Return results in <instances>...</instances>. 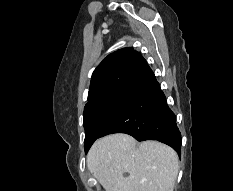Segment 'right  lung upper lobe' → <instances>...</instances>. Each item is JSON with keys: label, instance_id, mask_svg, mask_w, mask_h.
<instances>
[{"label": "right lung upper lobe", "instance_id": "obj_1", "mask_svg": "<svg viewBox=\"0 0 233 191\" xmlns=\"http://www.w3.org/2000/svg\"><path fill=\"white\" fill-rule=\"evenodd\" d=\"M147 66L145 59L132 48L109 54L92 74L86 105L128 91Z\"/></svg>", "mask_w": 233, "mask_h": 191}]
</instances>
